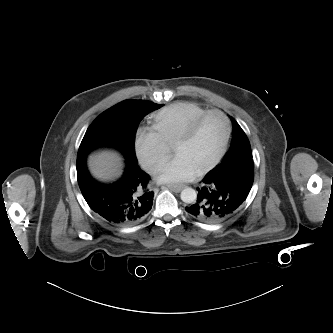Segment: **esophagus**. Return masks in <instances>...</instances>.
<instances>
[{
	"instance_id": "1",
	"label": "esophagus",
	"mask_w": 333,
	"mask_h": 333,
	"mask_svg": "<svg viewBox=\"0 0 333 333\" xmlns=\"http://www.w3.org/2000/svg\"><path fill=\"white\" fill-rule=\"evenodd\" d=\"M167 187L171 191L178 193L185 187V185H168Z\"/></svg>"
}]
</instances>
